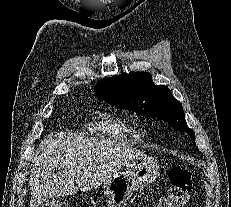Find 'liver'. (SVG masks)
Wrapping results in <instances>:
<instances>
[{"label": "liver", "instance_id": "1", "mask_svg": "<svg viewBox=\"0 0 231 207\" xmlns=\"http://www.w3.org/2000/svg\"><path fill=\"white\" fill-rule=\"evenodd\" d=\"M141 156L142 152L114 141L56 133L44 139L36 151L30 174V207H39L48 198L73 195L77 187L81 191L97 188L121 164Z\"/></svg>", "mask_w": 231, "mask_h": 207}]
</instances>
